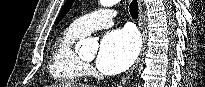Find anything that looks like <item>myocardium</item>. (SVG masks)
<instances>
[{
	"instance_id": "f54148a6",
	"label": "myocardium",
	"mask_w": 205,
	"mask_h": 87,
	"mask_svg": "<svg viewBox=\"0 0 205 87\" xmlns=\"http://www.w3.org/2000/svg\"><path fill=\"white\" fill-rule=\"evenodd\" d=\"M79 59H80V61H81V63L84 65V66H89V62L88 61H86L85 59H83L82 57H79Z\"/></svg>"
}]
</instances>
